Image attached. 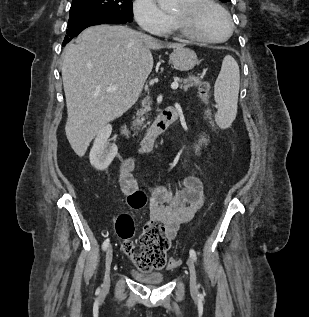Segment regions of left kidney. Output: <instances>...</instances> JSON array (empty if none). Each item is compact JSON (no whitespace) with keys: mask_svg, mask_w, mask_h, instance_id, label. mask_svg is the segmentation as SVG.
I'll return each instance as SVG.
<instances>
[{"mask_svg":"<svg viewBox=\"0 0 309 317\" xmlns=\"http://www.w3.org/2000/svg\"><path fill=\"white\" fill-rule=\"evenodd\" d=\"M206 142H207V140H206L204 137H202V138L198 141V145H196V151H199L200 145H202V143H206Z\"/></svg>","mask_w":309,"mask_h":317,"instance_id":"5707ae66","label":"left kidney"}]
</instances>
